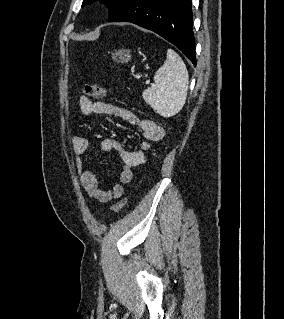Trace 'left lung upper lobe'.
<instances>
[{
  "mask_svg": "<svg viewBox=\"0 0 284 319\" xmlns=\"http://www.w3.org/2000/svg\"><path fill=\"white\" fill-rule=\"evenodd\" d=\"M96 0H83L82 7L94 2ZM104 2L109 8V18L113 17L122 6L126 3L127 0H100Z\"/></svg>",
  "mask_w": 284,
  "mask_h": 319,
  "instance_id": "obj_1",
  "label": "left lung upper lobe"
}]
</instances>
